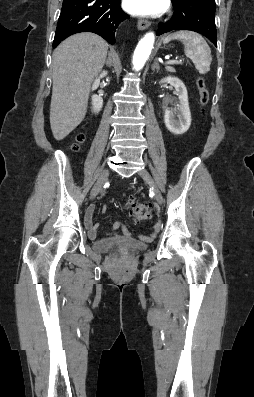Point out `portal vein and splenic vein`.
Wrapping results in <instances>:
<instances>
[{"instance_id":"1","label":"portal vein and splenic vein","mask_w":254,"mask_h":397,"mask_svg":"<svg viewBox=\"0 0 254 397\" xmlns=\"http://www.w3.org/2000/svg\"><path fill=\"white\" fill-rule=\"evenodd\" d=\"M181 63H182L181 60H179V61H177V60H171V61H167V62H166L167 65L181 64Z\"/></svg>"}]
</instances>
